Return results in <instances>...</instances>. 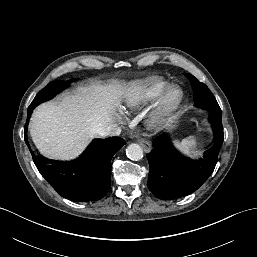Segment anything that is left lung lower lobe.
<instances>
[{"label":"left lung lower lobe","mask_w":257,"mask_h":257,"mask_svg":"<svg viewBox=\"0 0 257 257\" xmlns=\"http://www.w3.org/2000/svg\"><path fill=\"white\" fill-rule=\"evenodd\" d=\"M215 133L213 144L198 160H190L177 153L168 136L163 133L153 140L149 161L148 188L162 200L177 199L196 191L212 174L223 143L220 112H210Z\"/></svg>","instance_id":"0a47b994"}]
</instances>
